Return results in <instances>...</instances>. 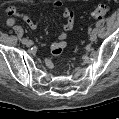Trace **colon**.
I'll list each match as a JSON object with an SVG mask.
<instances>
[{"mask_svg":"<svg viewBox=\"0 0 119 119\" xmlns=\"http://www.w3.org/2000/svg\"><path fill=\"white\" fill-rule=\"evenodd\" d=\"M108 12V7L105 5H98L92 13V16L96 20L103 19Z\"/></svg>","mask_w":119,"mask_h":119,"instance_id":"obj_1","label":"colon"}]
</instances>
